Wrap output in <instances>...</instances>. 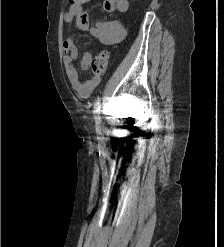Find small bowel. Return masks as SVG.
I'll return each instance as SVG.
<instances>
[{
	"label": "small bowel",
	"mask_w": 224,
	"mask_h": 247,
	"mask_svg": "<svg viewBox=\"0 0 224 247\" xmlns=\"http://www.w3.org/2000/svg\"><path fill=\"white\" fill-rule=\"evenodd\" d=\"M89 2L90 0H85ZM103 8L106 12L125 13L129 8L127 0H104ZM67 23L75 22L80 31H89L90 34L103 44H115L123 40L126 31L123 25L116 20L99 21L91 23L89 14L81 7H70L64 14ZM64 52V67L66 76L72 89L82 98H87L100 82V76L95 75L91 79L81 80L74 60L78 57V49L74 43V37L68 36L62 43ZM92 62V55L85 52L80 59V66L83 70L89 69Z\"/></svg>",
	"instance_id": "1"
}]
</instances>
